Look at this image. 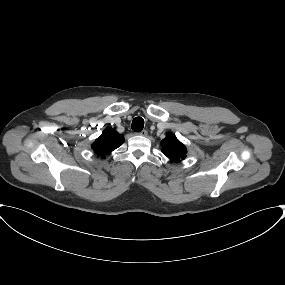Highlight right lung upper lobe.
Returning <instances> with one entry per match:
<instances>
[{"instance_id": "cb5924a9", "label": "right lung upper lobe", "mask_w": 285, "mask_h": 285, "mask_svg": "<svg viewBox=\"0 0 285 285\" xmlns=\"http://www.w3.org/2000/svg\"><path fill=\"white\" fill-rule=\"evenodd\" d=\"M123 142V135H120L116 130L108 127L92 144V149L97 156L104 158L111 151L121 146Z\"/></svg>"}]
</instances>
